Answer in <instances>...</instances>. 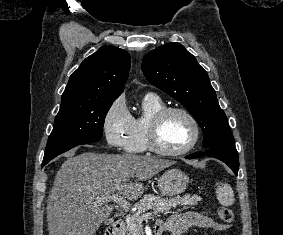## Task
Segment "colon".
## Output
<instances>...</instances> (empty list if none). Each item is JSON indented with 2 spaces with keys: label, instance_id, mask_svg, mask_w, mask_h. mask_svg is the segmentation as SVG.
Masks as SVG:
<instances>
[{
  "label": "colon",
  "instance_id": "colon-1",
  "mask_svg": "<svg viewBox=\"0 0 283 235\" xmlns=\"http://www.w3.org/2000/svg\"><path fill=\"white\" fill-rule=\"evenodd\" d=\"M217 213H218V216H219L221 221H223L225 223L232 222L233 212H232L231 209L221 206L217 209Z\"/></svg>",
  "mask_w": 283,
  "mask_h": 235
}]
</instances>
